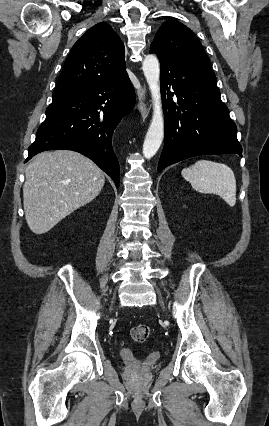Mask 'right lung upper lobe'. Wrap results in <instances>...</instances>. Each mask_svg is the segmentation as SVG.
I'll return each mask as SVG.
<instances>
[{
  "label": "right lung upper lobe",
  "instance_id": "right-lung-upper-lobe-1",
  "mask_svg": "<svg viewBox=\"0 0 269 426\" xmlns=\"http://www.w3.org/2000/svg\"><path fill=\"white\" fill-rule=\"evenodd\" d=\"M126 73L124 45L112 27L101 22L74 44L53 92L107 83Z\"/></svg>",
  "mask_w": 269,
  "mask_h": 426
}]
</instances>
